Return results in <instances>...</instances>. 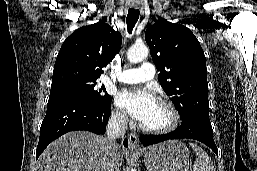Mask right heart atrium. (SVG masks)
<instances>
[{
  "label": "right heart atrium",
  "instance_id": "1",
  "mask_svg": "<svg viewBox=\"0 0 257 171\" xmlns=\"http://www.w3.org/2000/svg\"><path fill=\"white\" fill-rule=\"evenodd\" d=\"M111 119L115 124L119 126H125L128 123V118L126 114L120 109H114L112 111Z\"/></svg>",
  "mask_w": 257,
  "mask_h": 171
}]
</instances>
